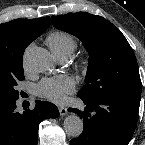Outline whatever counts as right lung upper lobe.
Segmentation results:
<instances>
[{
    "label": "right lung upper lobe",
    "instance_id": "cb5924a9",
    "mask_svg": "<svg viewBox=\"0 0 145 145\" xmlns=\"http://www.w3.org/2000/svg\"><path fill=\"white\" fill-rule=\"evenodd\" d=\"M49 25V17L15 19L0 24V73L21 65L25 48Z\"/></svg>",
    "mask_w": 145,
    "mask_h": 145
}]
</instances>
